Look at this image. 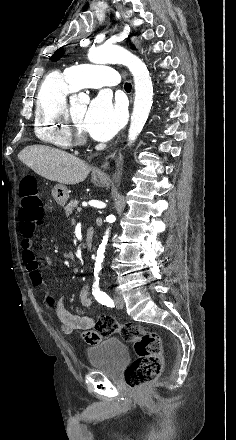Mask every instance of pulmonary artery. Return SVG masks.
I'll list each match as a JSON object with an SVG mask.
<instances>
[{"label": "pulmonary artery", "instance_id": "1", "mask_svg": "<svg viewBox=\"0 0 236 440\" xmlns=\"http://www.w3.org/2000/svg\"><path fill=\"white\" fill-rule=\"evenodd\" d=\"M65 77L73 88L116 87L120 77L115 68L107 65H74L65 70Z\"/></svg>", "mask_w": 236, "mask_h": 440}]
</instances>
